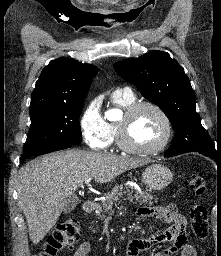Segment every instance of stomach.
Segmentation results:
<instances>
[{
    "instance_id": "stomach-1",
    "label": "stomach",
    "mask_w": 221,
    "mask_h": 256,
    "mask_svg": "<svg viewBox=\"0 0 221 256\" xmlns=\"http://www.w3.org/2000/svg\"><path fill=\"white\" fill-rule=\"evenodd\" d=\"M173 179L170 169L162 164L154 163L142 173V181L151 190H161L167 187Z\"/></svg>"
}]
</instances>
